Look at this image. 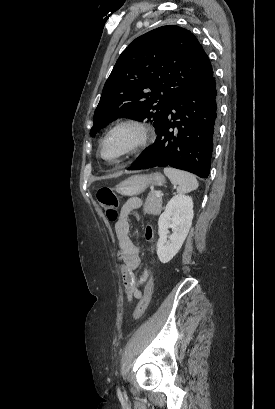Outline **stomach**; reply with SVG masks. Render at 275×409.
<instances>
[{
  "label": "stomach",
  "mask_w": 275,
  "mask_h": 409,
  "mask_svg": "<svg viewBox=\"0 0 275 409\" xmlns=\"http://www.w3.org/2000/svg\"><path fill=\"white\" fill-rule=\"evenodd\" d=\"M165 182L163 174L160 172H153V174H133L126 180H122L120 184H117V192L124 194V196H136L141 194L149 184H158L161 186Z\"/></svg>",
  "instance_id": "stomach-1"
}]
</instances>
